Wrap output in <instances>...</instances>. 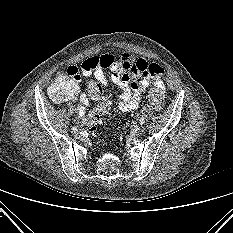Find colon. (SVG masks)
Returning a JSON list of instances; mask_svg holds the SVG:
<instances>
[{
	"instance_id": "colon-1",
	"label": "colon",
	"mask_w": 233,
	"mask_h": 233,
	"mask_svg": "<svg viewBox=\"0 0 233 233\" xmlns=\"http://www.w3.org/2000/svg\"><path fill=\"white\" fill-rule=\"evenodd\" d=\"M89 96L99 101L97 106L90 112L86 120V128L94 130L101 117L111 108V101L104 94L103 88L98 81H90L87 86ZM74 93L72 78L64 71H60L51 86L49 95L56 102H63L70 98ZM148 100L151 107L161 110L164 106V90L161 86L153 83L148 92Z\"/></svg>"
}]
</instances>
